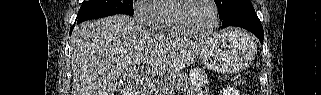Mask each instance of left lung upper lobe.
I'll return each instance as SVG.
<instances>
[{
	"instance_id": "left-lung-upper-lobe-1",
	"label": "left lung upper lobe",
	"mask_w": 321,
	"mask_h": 95,
	"mask_svg": "<svg viewBox=\"0 0 321 95\" xmlns=\"http://www.w3.org/2000/svg\"><path fill=\"white\" fill-rule=\"evenodd\" d=\"M215 3L218 8L219 18L222 19L228 12L232 9L251 3L250 0H215Z\"/></svg>"
}]
</instances>
